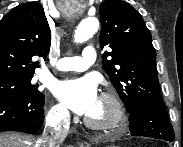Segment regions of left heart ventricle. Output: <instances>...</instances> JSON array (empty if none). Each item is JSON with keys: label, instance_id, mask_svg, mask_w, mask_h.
Instances as JSON below:
<instances>
[{"label": "left heart ventricle", "instance_id": "b2bd125f", "mask_svg": "<svg viewBox=\"0 0 183 147\" xmlns=\"http://www.w3.org/2000/svg\"><path fill=\"white\" fill-rule=\"evenodd\" d=\"M87 116L98 122H108L112 119L113 112L110 105L106 101L99 98Z\"/></svg>", "mask_w": 183, "mask_h": 147}]
</instances>
